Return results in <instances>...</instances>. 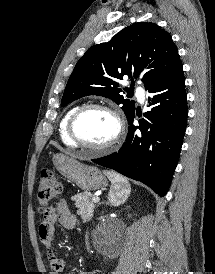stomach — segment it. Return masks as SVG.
Segmentation results:
<instances>
[{"instance_id":"stomach-1","label":"stomach","mask_w":215,"mask_h":274,"mask_svg":"<svg viewBox=\"0 0 215 274\" xmlns=\"http://www.w3.org/2000/svg\"><path fill=\"white\" fill-rule=\"evenodd\" d=\"M53 163L64 177L86 192L102 189L108 185L106 177L99 169L82 164L72 157L56 154L53 157ZM129 194L130 190L122 196L120 204L127 199Z\"/></svg>"}]
</instances>
